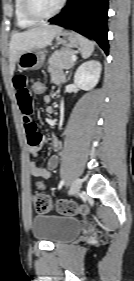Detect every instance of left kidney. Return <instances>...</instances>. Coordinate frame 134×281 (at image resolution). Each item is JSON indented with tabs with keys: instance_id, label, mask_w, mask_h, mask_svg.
I'll return each mask as SVG.
<instances>
[{
	"instance_id": "1",
	"label": "left kidney",
	"mask_w": 134,
	"mask_h": 281,
	"mask_svg": "<svg viewBox=\"0 0 134 281\" xmlns=\"http://www.w3.org/2000/svg\"><path fill=\"white\" fill-rule=\"evenodd\" d=\"M101 64L99 61H87L80 65L74 75V83L83 90L94 88L100 78Z\"/></svg>"
}]
</instances>
